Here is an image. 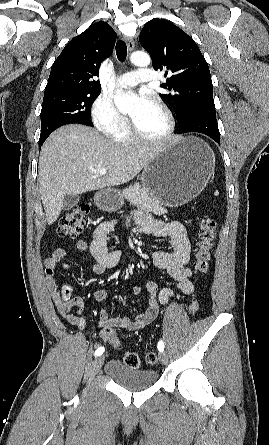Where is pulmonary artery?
I'll return each mask as SVG.
<instances>
[{"instance_id":"obj_1","label":"pulmonary artery","mask_w":269,"mask_h":445,"mask_svg":"<svg viewBox=\"0 0 269 445\" xmlns=\"http://www.w3.org/2000/svg\"><path fill=\"white\" fill-rule=\"evenodd\" d=\"M157 79L155 71L149 68H140L136 71L126 72L118 77V84L122 87H133L139 83L152 82Z\"/></svg>"}]
</instances>
